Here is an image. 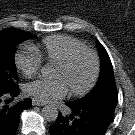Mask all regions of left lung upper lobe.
Returning a JSON list of instances; mask_svg holds the SVG:
<instances>
[{"label":"left lung upper lobe","mask_w":135,"mask_h":135,"mask_svg":"<svg viewBox=\"0 0 135 135\" xmlns=\"http://www.w3.org/2000/svg\"><path fill=\"white\" fill-rule=\"evenodd\" d=\"M97 46L101 56L99 80L97 85L86 96L74 101L73 103L75 104L95 103L100 101L117 103V88L109 55L100 42H97Z\"/></svg>","instance_id":"left-lung-upper-lobe-1"}]
</instances>
